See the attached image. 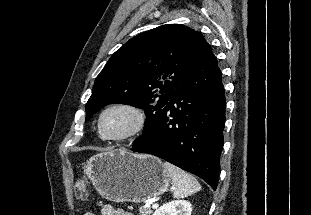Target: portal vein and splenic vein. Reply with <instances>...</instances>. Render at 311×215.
Listing matches in <instances>:
<instances>
[{"label": "portal vein and splenic vein", "mask_w": 311, "mask_h": 215, "mask_svg": "<svg viewBox=\"0 0 311 215\" xmlns=\"http://www.w3.org/2000/svg\"><path fill=\"white\" fill-rule=\"evenodd\" d=\"M159 205L157 204V203H154L153 205H152V207L153 208H157Z\"/></svg>", "instance_id": "portal-vein-and-splenic-vein-1"}]
</instances>
